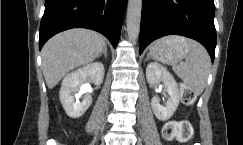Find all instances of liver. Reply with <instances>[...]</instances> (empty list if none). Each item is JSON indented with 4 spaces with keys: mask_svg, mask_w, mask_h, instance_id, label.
<instances>
[{
    "mask_svg": "<svg viewBox=\"0 0 243 145\" xmlns=\"http://www.w3.org/2000/svg\"><path fill=\"white\" fill-rule=\"evenodd\" d=\"M105 46L100 34L87 29H71L52 37L42 49V69L48 88H54L69 71L92 62Z\"/></svg>",
    "mask_w": 243,
    "mask_h": 145,
    "instance_id": "6515ba94",
    "label": "liver"
}]
</instances>
